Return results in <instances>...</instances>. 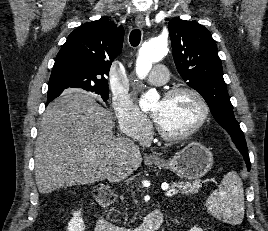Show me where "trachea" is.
<instances>
[{
  "label": "trachea",
  "mask_w": 268,
  "mask_h": 231,
  "mask_svg": "<svg viewBox=\"0 0 268 231\" xmlns=\"http://www.w3.org/2000/svg\"><path fill=\"white\" fill-rule=\"evenodd\" d=\"M140 40H141V31L139 29L132 30L129 37L130 44L133 47H136L139 45Z\"/></svg>",
  "instance_id": "trachea-1"
}]
</instances>
